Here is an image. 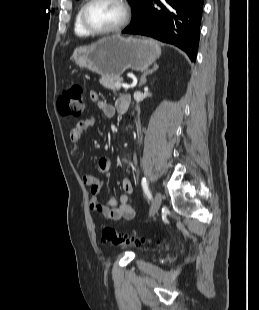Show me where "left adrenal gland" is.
<instances>
[{
  "label": "left adrenal gland",
  "instance_id": "left-adrenal-gland-1",
  "mask_svg": "<svg viewBox=\"0 0 259 310\" xmlns=\"http://www.w3.org/2000/svg\"><path fill=\"white\" fill-rule=\"evenodd\" d=\"M158 65H154L153 69L147 70L143 73V75L141 76L140 79V83H139V87H141L142 85H144L146 83V76L149 74H152L154 71H156L158 69Z\"/></svg>",
  "mask_w": 259,
  "mask_h": 310
}]
</instances>
